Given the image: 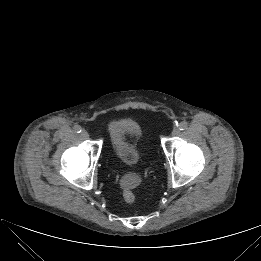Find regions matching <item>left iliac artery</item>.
<instances>
[{
    "instance_id": "left-iliac-artery-1",
    "label": "left iliac artery",
    "mask_w": 261,
    "mask_h": 261,
    "mask_svg": "<svg viewBox=\"0 0 261 261\" xmlns=\"http://www.w3.org/2000/svg\"><path fill=\"white\" fill-rule=\"evenodd\" d=\"M180 130H186L188 128V123L186 121H182L179 125H178Z\"/></svg>"
}]
</instances>
